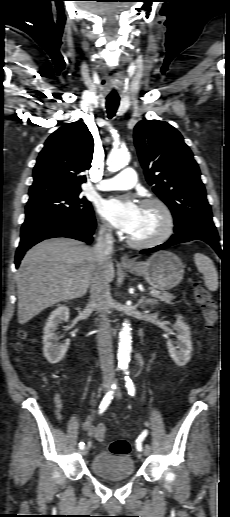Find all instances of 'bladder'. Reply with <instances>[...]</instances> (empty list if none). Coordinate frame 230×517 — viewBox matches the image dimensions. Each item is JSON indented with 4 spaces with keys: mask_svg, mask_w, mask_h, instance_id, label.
Here are the masks:
<instances>
[{
    "mask_svg": "<svg viewBox=\"0 0 230 517\" xmlns=\"http://www.w3.org/2000/svg\"><path fill=\"white\" fill-rule=\"evenodd\" d=\"M91 472L104 479H123L131 477L134 472V462L128 455L100 452L91 462Z\"/></svg>",
    "mask_w": 230,
    "mask_h": 517,
    "instance_id": "1",
    "label": "bladder"
}]
</instances>
